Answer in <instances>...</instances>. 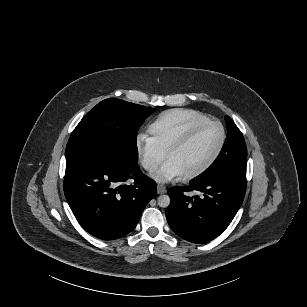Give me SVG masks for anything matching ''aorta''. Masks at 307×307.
Wrapping results in <instances>:
<instances>
[{
    "instance_id": "aorta-1",
    "label": "aorta",
    "mask_w": 307,
    "mask_h": 307,
    "mask_svg": "<svg viewBox=\"0 0 307 307\" xmlns=\"http://www.w3.org/2000/svg\"><path fill=\"white\" fill-rule=\"evenodd\" d=\"M170 204V197L168 195H160L158 197V205L160 207H168Z\"/></svg>"
}]
</instances>
